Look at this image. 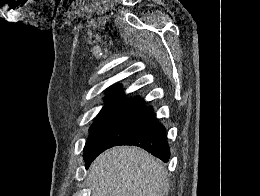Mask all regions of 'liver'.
<instances>
[{"label":"liver","instance_id":"liver-1","mask_svg":"<svg viewBox=\"0 0 260 196\" xmlns=\"http://www.w3.org/2000/svg\"><path fill=\"white\" fill-rule=\"evenodd\" d=\"M92 196H164V164L136 146H116L90 166Z\"/></svg>","mask_w":260,"mask_h":196}]
</instances>
